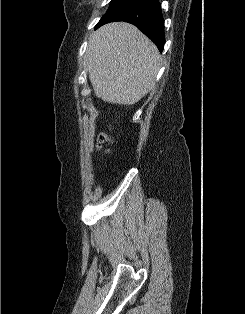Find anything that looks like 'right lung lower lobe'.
Segmentation results:
<instances>
[{
	"label": "right lung lower lobe",
	"mask_w": 245,
	"mask_h": 314,
	"mask_svg": "<svg viewBox=\"0 0 245 314\" xmlns=\"http://www.w3.org/2000/svg\"><path fill=\"white\" fill-rule=\"evenodd\" d=\"M116 21L134 24L156 44L159 51L163 50L165 43L164 19L158 0H128L99 22L96 28Z\"/></svg>",
	"instance_id": "obj_1"
}]
</instances>
